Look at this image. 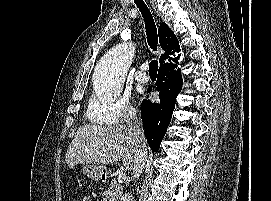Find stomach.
<instances>
[{"label": "stomach", "mask_w": 271, "mask_h": 201, "mask_svg": "<svg viewBox=\"0 0 271 201\" xmlns=\"http://www.w3.org/2000/svg\"><path fill=\"white\" fill-rule=\"evenodd\" d=\"M85 176L93 181H100L105 178L106 171L103 167L98 165L88 164L80 169Z\"/></svg>", "instance_id": "stomach-1"}]
</instances>
